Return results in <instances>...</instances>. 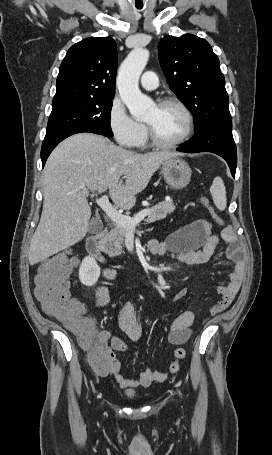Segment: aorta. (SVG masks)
<instances>
[{
	"instance_id": "obj_1",
	"label": "aorta",
	"mask_w": 272,
	"mask_h": 455,
	"mask_svg": "<svg viewBox=\"0 0 272 455\" xmlns=\"http://www.w3.org/2000/svg\"><path fill=\"white\" fill-rule=\"evenodd\" d=\"M148 59L147 49L134 48L121 64L117 77L120 97L130 114L137 120L144 119L154 108L152 99L142 94L138 86L139 77Z\"/></svg>"
}]
</instances>
